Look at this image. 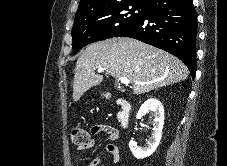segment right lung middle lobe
<instances>
[{"label":"right lung middle lobe","instance_id":"obj_1","mask_svg":"<svg viewBox=\"0 0 227 166\" xmlns=\"http://www.w3.org/2000/svg\"><path fill=\"white\" fill-rule=\"evenodd\" d=\"M146 9V5L128 3L76 14L72 28L74 53L90 43L116 37L139 21Z\"/></svg>","mask_w":227,"mask_h":166}]
</instances>
